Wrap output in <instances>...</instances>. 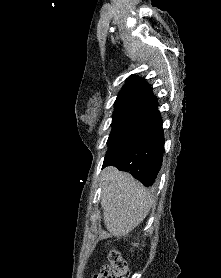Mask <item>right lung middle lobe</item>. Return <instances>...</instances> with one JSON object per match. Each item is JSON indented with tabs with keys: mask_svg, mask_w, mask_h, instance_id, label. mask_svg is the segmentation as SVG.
Listing matches in <instances>:
<instances>
[{
	"mask_svg": "<svg viewBox=\"0 0 221 278\" xmlns=\"http://www.w3.org/2000/svg\"><path fill=\"white\" fill-rule=\"evenodd\" d=\"M154 112L155 110L151 106L145 104H134L115 109L106 155L131 137Z\"/></svg>",
	"mask_w": 221,
	"mask_h": 278,
	"instance_id": "dd1d6c3e",
	"label": "right lung middle lobe"
}]
</instances>
